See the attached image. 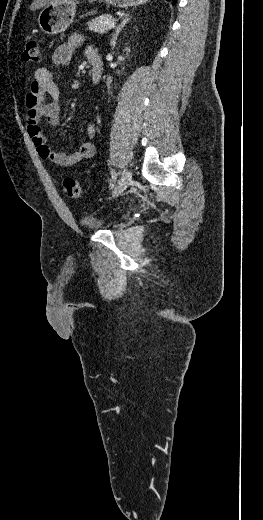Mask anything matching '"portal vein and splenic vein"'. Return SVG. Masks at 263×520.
Here are the masks:
<instances>
[{
  "label": "portal vein and splenic vein",
  "mask_w": 263,
  "mask_h": 520,
  "mask_svg": "<svg viewBox=\"0 0 263 520\" xmlns=\"http://www.w3.org/2000/svg\"><path fill=\"white\" fill-rule=\"evenodd\" d=\"M115 26H116L115 22H108V28L109 29L114 28Z\"/></svg>",
  "instance_id": "obj_1"
}]
</instances>
